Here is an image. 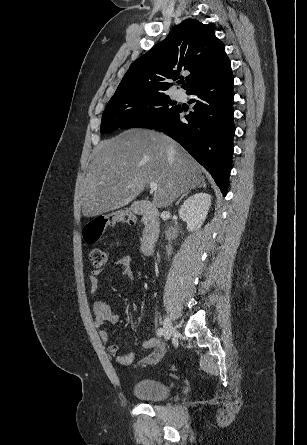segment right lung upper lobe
<instances>
[{
	"instance_id": "obj_1",
	"label": "right lung upper lobe",
	"mask_w": 307,
	"mask_h": 445,
	"mask_svg": "<svg viewBox=\"0 0 307 445\" xmlns=\"http://www.w3.org/2000/svg\"><path fill=\"white\" fill-rule=\"evenodd\" d=\"M229 62L225 46L214 30L187 19L131 64L112 98L162 94L172 86L169 81L179 79L185 70L191 73L183 85L188 90Z\"/></svg>"
}]
</instances>
